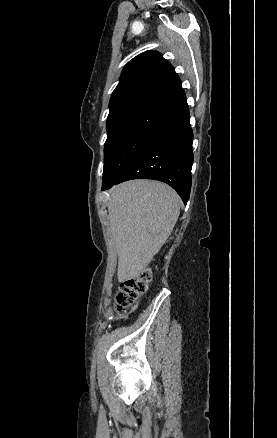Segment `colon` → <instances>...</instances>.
Returning a JSON list of instances; mask_svg holds the SVG:
<instances>
[{
	"label": "colon",
	"instance_id": "1",
	"mask_svg": "<svg viewBox=\"0 0 277 438\" xmlns=\"http://www.w3.org/2000/svg\"><path fill=\"white\" fill-rule=\"evenodd\" d=\"M149 270L147 269L140 277H133L121 283L116 294L115 311L117 315H123L127 308L134 305L135 300L144 295L147 290Z\"/></svg>",
	"mask_w": 277,
	"mask_h": 438
}]
</instances>
